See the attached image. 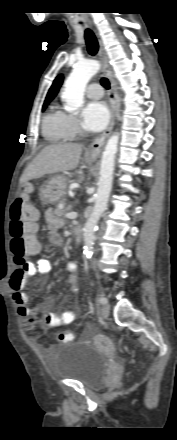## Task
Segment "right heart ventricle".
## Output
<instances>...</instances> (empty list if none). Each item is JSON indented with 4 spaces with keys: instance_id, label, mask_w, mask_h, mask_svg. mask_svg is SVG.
<instances>
[{
    "instance_id": "e07e8e85",
    "label": "right heart ventricle",
    "mask_w": 177,
    "mask_h": 440,
    "mask_svg": "<svg viewBox=\"0 0 177 440\" xmlns=\"http://www.w3.org/2000/svg\"><path fill=\"white\" fill-rule=\"evenodd\" d=\"M42 134L51 143L65 142L70 138L65 127V114L55 105L43 117Z\"/></svg>"
}]
</instances>
